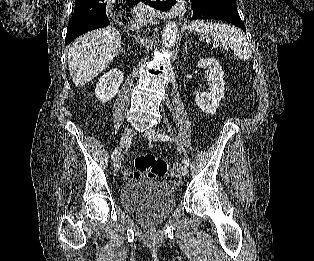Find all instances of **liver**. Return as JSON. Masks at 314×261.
<instances>
[{"label":"liver","mask_w":314,"mask_h":261,"mask_svg":"<svg viewBox=\"0 0 314 261\" xmlns=\"http://www.w3.org/2000/svg\"><path fill=\"white\" fill-rule=\"evenodd\" d=\"M121 35L114 27L97 29L77 38L68 52V67L76 86L94 79L115 58Z\"/></svg>","instance_id":"1"}]
</instances>
